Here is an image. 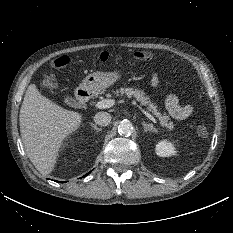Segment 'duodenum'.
I'll use <instances>...</instances> for the list:
<instances>
[{
	"instance_id": "410a0bca",
	"label": "duodenum",
	"mask_w": 233,
	"mask_h": 233,
	"mask_svg": "<svg viewBox=\"0 0 233 233\" xmlns=\"http://www.w3.org/2000/svg\"><path fill=\"white\" fill-rule=\"evenodd\" d=\"M90 96L89 93L85 90L80 91V93L77 95V101L80 104H85L89 100Z\"/></svg>"
}]
</instances>
